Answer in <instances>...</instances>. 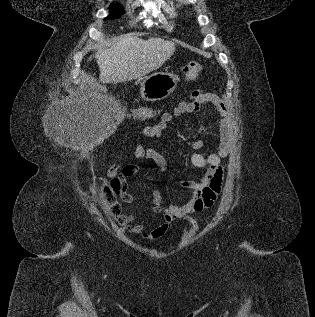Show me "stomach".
<instances>
[{
  "instance_id": "1",
  "label": "stomach",
  "mask_w": 315,
  "mask_h": 317,
  "mask_svg": "<svg viewBox=\"0 0 315 317\" xmlns=\"http://www.w3.org/2000/svg\"><path fill=\"white\" fill-rule=\"evenodd\" d=\"M178 81V76L173 72H155L141 82V97L153 102L163 100L175 90Z\"/></svg>"
}]
</instances>
